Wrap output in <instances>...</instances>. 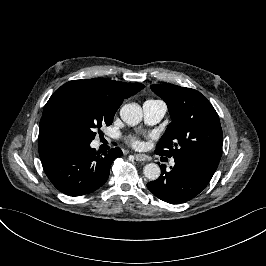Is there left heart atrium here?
I'll return each instance as SVG.
<instances>
[{
  "mask_svg": "<svg viewBox=\"0 0 266 266\" xmlns=\"http://www.w3.org/2000/svg\"><path fill=\"white\" fill-rule=\"evenodd\" d=\"M131 142L134 145H139L140 144V142L138 140H136V139H131Z\"/></svg>",
  "mask_w": 266,
  "mask_h": 266,
  "instance_id": "left-heart-atrium-1",
  "label": "left heart atrium"
}]
</instances>
